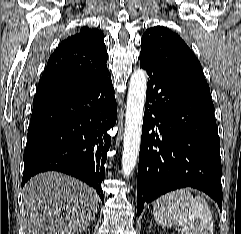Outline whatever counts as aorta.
<instances>
[{"instance_id": "762f6f07", "label": "aorta", "mask_w": 241, "mask_h": 234, "mask_svg": "<svg viewBox=\"0 0 241 234\" xmlns=\"http://www.w3.org/2000/svg\"><path fill=\"white\" fill-rule=\"evenodd\" d=\"M147 89V76L143 69L134 71L130 78L127 108L125 117V130L122 153V173L129 177L135 169L142 134L145 96Z\"/></svg>"}]
</instances>
